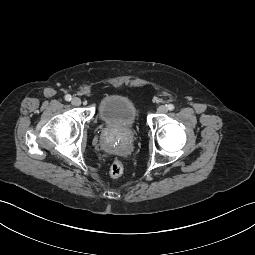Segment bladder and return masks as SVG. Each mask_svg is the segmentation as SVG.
<instances>
[{"mask_svg": "<svg viewBox=\"0 0 255 255\" xmlns=\"http://www.w3.org/2000/svg\"><path fill=\"white\" fill-rule=\"evenodd\" d=\"M99 120L119 129H132L139 120V111L132 98L123 94L107 96L98 107Z\"/></svg>", "mask_w": 255, "mask_h": 255, "instance_id": "obj_1", "label": "bladder"}]
</instances>
